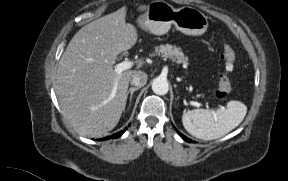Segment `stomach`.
<instances>
[{
    "mask_svg": "<svg viewBox=\"0 0 288 181\" xmlns=\"http://www.w3.org/2000/svg\"><path fill=\"white\" fill-rule=\"evenodd\" d=\"M138 22L143 29L155 35L167 33L174 25L186 35L199 36L206 32L209 24L208 18L195 8L175 9L161 0L151 2Z\"/></svg>",
    "mask_w": 288,
    "mask_h": 181,
    "instance_id": "obj_1",
    "label": "stomach"
}]
</instances>
